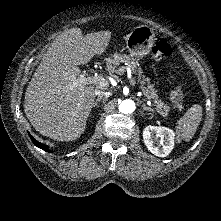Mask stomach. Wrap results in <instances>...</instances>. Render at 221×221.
Instances as JSON below:
<instances>
[{"instance_id": "0dacf381", "label": "stomach", "mask_w": 221, "mask_h": 221, "mask_svg": "<svg viewBox=\"0 0 221 221\" xmlns=\"http://www.w3.org/2000/svg\"><path fill=\"white\" fill-rule=\"evenodd\" d=\"M155 39L154 30L147 26L141 25L132 30L126 38V47L131 57L139 59L147 55Z\"/></svg>"}]
</instances>
